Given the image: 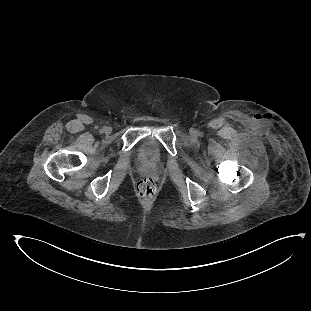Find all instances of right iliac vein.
<instances>
[{
    "label": "right iliac vein",
    "instance_id": "obj_1",
    "mask_svg": "<svg viewBox=\"0 0 311 311\" xmlns=\"http://www.w3.org/2000/svg\"><path fill=\"white\" fill-rule=\"evenodd\" d=\"M110 131L111 130L109 128H106V130H105L106 133H110Z\"/></svg>",
    "mask_w": 311,
    "mask_h": 311
}]
</instances>
